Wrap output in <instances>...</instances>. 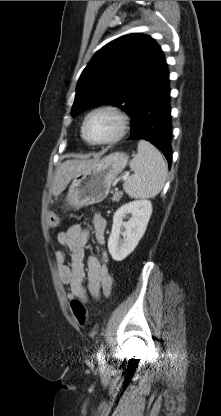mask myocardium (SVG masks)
I'll return each mask as SVG.
<instances>
[{"label":"myocardium","mask_w":221,"mask_h":416,"mask_svg":"<svg viewBox=\"0 0 221 416\" xmlns=\"http://www.w3.org/2000/svg\"><path fill=\"white\" fill-rule=\"evenodd\" d=\"M98 113H109L113 115L117 119V122H118V127H117L116 132L109 138H106L103 140L93 139L87 134V124H88L89 119ZM128 124H129L128 116L119 107L114 106V105H102V106L92 109L90 112L86 114L82 122L81 133H82L83 138L91 144L107 145V144L115 143L118 140H120L126 134V131L128 129Z\"/></svg>","instance_id":"1"}]
</instances>
